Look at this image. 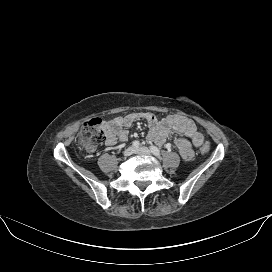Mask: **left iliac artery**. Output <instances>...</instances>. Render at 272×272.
<instances>
[{
	"label": "left iliac artery",
	"instance_id": "left-iliac-artery-1",
	"mask_svg": "<svg viewBox=\"0 0 272 272\" xmlns=\"http://www.w3.org/2000/svg\"><path fill=\"white\" fill-rule=\"evenodd\" d=\"M150 150L155 156L160 157V150L156 146H150Z\"/></svg>",
	"mask_w": 272,
	"mask_h": 272
}]
</instances>
